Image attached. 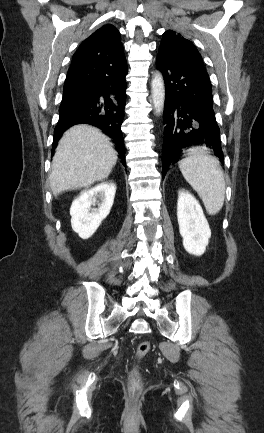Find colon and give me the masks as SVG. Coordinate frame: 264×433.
I'll use <instances>...</instances> for the list:
<instances>
[{
	"label": "colon",
	"mask_w": 264,
	"mask_h": 433,
	"mask_svg": "<svg viewBox=\"0 0 264 433\" xmlns=\"http://www.w3.org/2000/svg\"><path fill=\"white\" fill-rule=\"evenodd\" d=\"M151 350V344L148 341H142L137 345L136 348V358L142 359L145 357ZM130 382L134 387H138L141 383V376L137 368H133L130 372Z\"/></svg>",
	"instance_id": "1"
}]
</instances>
